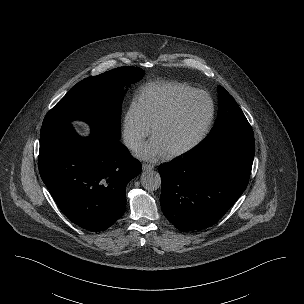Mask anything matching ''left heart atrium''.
I'll return each instance as SVG.
<instances>
[{"label":"left heart atrium","instance_id":"1","mask_svg":"<svg viewBox=\"0 0 304 304\" xmlns=\"http://www.w3.org/2000/svg\"><path fill=\"white\" fill-rule=\"evenodd\" d=\"M136 155L144 160L156 161L167 156L168 152L162 143L156 137H153L136 151Z\"/></svg>","mask_w":304,"mask_h":304}]
</instances>
